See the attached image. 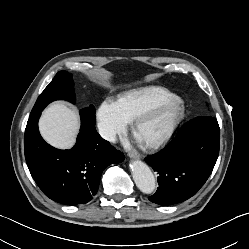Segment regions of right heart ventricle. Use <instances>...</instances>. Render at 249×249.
I'll return each instance as SVG.
<instances>
[{
  "instance_id": "obj_1",
  "label": "right heart ventricle",
  "mask_w": 249,
  "mask_h": 249,
  "mask_svg": "<svg viewBox=\"0 0 249 249\" xmlns=\"http://www.w3.org/2000/svg\"><path fill=\"white\" fill-rule=\"evenodd\" d=\"M175 96L171 91L159 86L143 87L131 90L117 100L120 110L129 122L149 106Z\"/></svg>"
}]
</instances>
